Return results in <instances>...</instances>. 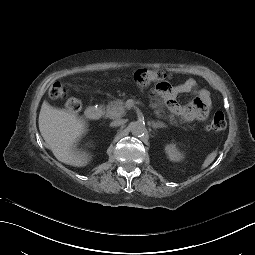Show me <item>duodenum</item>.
<instances>
[{
  "label": "duodenum",
  "mask_w": 255,
  "mask_h": 255,
  "mask_svg": "<svg viewBox=\"0 0 255 255\" xmlns=\"http://www.w3.org/2000/svg\"><path fill=\"white\" fill-rule=\"evenodd\" d=\"M103 110L100 107L90 106L85 110V116L89 120H98L101 118Z\"/></svg>",
  "instance_id": "410a0bca"
}]
</instances>
